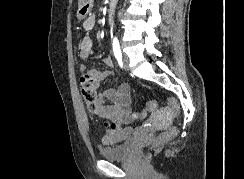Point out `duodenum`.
Returning a JSON list of instances; mask_svg holds the SVG:
<instances>
[{
	"mask_svg": "<svg viewBox=\"0 0 244 179\" xmlns=\"http://www.w3.org/2000/svg\"><path fill=\"white\" fill-rule=\"evenodd\" d=\"M114 12H115V8H111V9L109 10V14H110L111 16L114 15Z\"/></svg>",
	"mask_w": 244,
	"mask_h": 179,
	"instance_id": "410a0bca",
	"label": "duodenum"
}]
</instances>
